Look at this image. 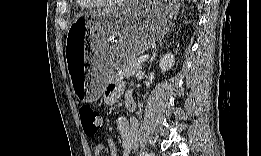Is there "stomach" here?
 <instances>
[{"mask_svg": "<svg viewBox=\"0 0 261 156\" xmlns=\"http://www.w3.org/2000/svg\"><path fill=\"white\" fill-rule=\"evenodd\" d=\"M178 7V3L166 1L127 2L77 19L67 34L65 56L78 100L96 101L117 67L164 37ZM87 40L92 57L79 60L74 46Z\"/></svg>", "mask_w": 261, "mask_h": 156, "instance_id": "obj_1", "label": "stomach"}]
</instances>
